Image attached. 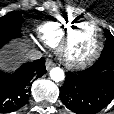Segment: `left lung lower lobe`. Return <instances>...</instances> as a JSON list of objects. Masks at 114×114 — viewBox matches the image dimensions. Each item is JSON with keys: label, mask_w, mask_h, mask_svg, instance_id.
Instances as JSON below:
<instances>
[{"label": "left lung lower lobe", "mask_w": 114, "mask_h": 114, "mask_svg": "<svg viewBox=\"0 0 114 114\" xmlns=\"http://www.w3.org/2000/svg\"><path fill=\"white\" fill-rule=\"evenodd\" d=\"M59 96L77 114H96L102 110L114 97V56L101 55L88 69L67 72Z\"/></svg>", "instance_id": "1"}]
</instances>
